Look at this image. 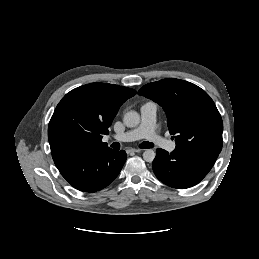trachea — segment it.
<instances>
[{
  "label": "trachea",
  "instance_id": "1",
  "mask_svg": "<svg viewBox=\"0 0 259 259\" xmlns=\"http://www.w3.org/2000/svg\"><path fill=\"white\" fill-rule=\"evenodd\" d=\"M112 148L119 150L120 149V144L118 142H114L112 145ZM140 148L142 149H147V148H152L154 145L148 141L142 142L140 145Z\"/></svg>",
  "mask_w": 259,
  "mask_h": 259
}]
</instances>
